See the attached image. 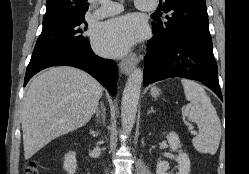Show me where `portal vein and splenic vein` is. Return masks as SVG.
I'll use <instances>...</instances> for the list:
<instances>
[{
    "label": "portal vein and splenic vein",
    "mask_w": 249,
    "mask_h": 174,
    "mask_svg": "<svg viewBox=\"0 0 249 174\" xmlns=\"http://www.w3.org/2000/svg\"><path fill=\"white\" fill-rule=\"evenodd\" d=\"M188 129L191 131V133H192L193 135H197V132H196V131H193V127H192L191 125L189 126Z\"/></svg>",
    "instance_id": "1"
}]
</instances>
